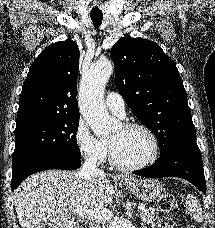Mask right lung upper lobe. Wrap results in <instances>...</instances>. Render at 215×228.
Segmentation results:
<instances>
[{
	"mask_svg": "<svg viewBox=\"0 0 215 228\" xmlns=\"http://www.w3.org/2000/svg\"><path fill=\"white\" fill-rule=\"evenodd\" d=\"M79 49L67 39L46 47L23 83L16 124L79 117L76 101Z\"/></svg>",
	"mask_w": 215,
	"mask_h": 228,
	"instance_id": "obj_1",
	"label": "right lung upper lobe"
}]
</instances>
